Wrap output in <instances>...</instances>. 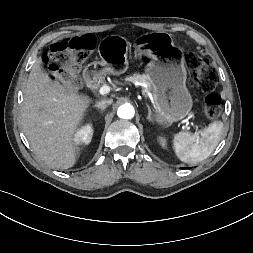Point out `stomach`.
Wrapping results in <instances>:
<instances>
[{
	"label": "stomach",
	"mask_w": 253,
	"mask_h": 253,
	"mask_svg": "<svg viewBox=\"0 0 253 253\" xmlns=\"http://www.w3.org/2000/svg\"><path fill=\"white\" fill-rule=\"evenodd\" d=\"M164 44H159L158 49H154L156 40L149 43L140 44L138 48L149 45V53H162L163 59L150 62L146 69V77L153 87L154 100L158 110L157 121L170 126L172 123L185 118L191 111L193 100L186 87L187 72L181 60L182 52L175 48L171 37L167 34L161 36ZM130 42L120 35H110L103 38L98 45L100 61L93 62L88 71L93 76L105 74L120 75L128 69V53Z\"/></svg>",
	"instance_id": "0dacf381"
}]
</instances>
